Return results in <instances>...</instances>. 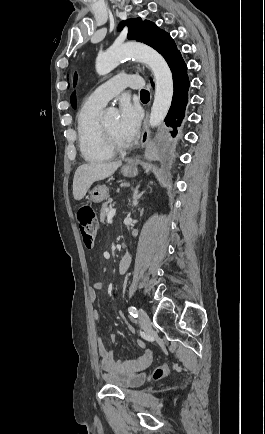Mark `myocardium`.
<instances>
[{
	"instance_id": "f54148a6",
	"label": "myocardium",
	"mask_w": 265,
	"mask_h": 434,
	"mask_svg": "<svg viewBox=\"0 0 265 434\" xmlns=\"http://www.w3.org/2000/svg\"><path fill=\"white\" fill-rule=\"evenodd\" d=\"M103 128L108 140L109 147L113 152L122 153L127 151L130 148L129 144H122L113 135V133L110 131V129L103 123Z\"/></svg>"
}]
</instances>
